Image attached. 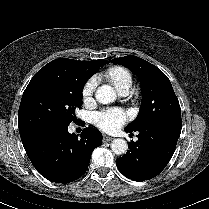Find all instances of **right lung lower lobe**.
Masks as SVG:
<instances>
[{
	"label": "right lung lower lobe",
	"mask_w": 209,
	"mask_h": 209,
	"mask_svg": "<svg viewBox=\"0 0 209 209\" xmlns=\"http://www.w3.org/2000/svg\"><path fill=\"white\" fill-rule=\"evenodd\" d=\"M102 144V134L85 128L78 138L67 128L33 138L23 145L37 171L56 183H69L87 170L92 151Z\"/></svg>",
	"instance_id": "1"
}]
</instances>
